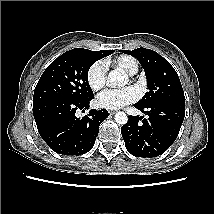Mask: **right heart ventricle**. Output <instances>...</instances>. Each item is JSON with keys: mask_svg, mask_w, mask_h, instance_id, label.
Instances as JSON below:
<instances>
[{"mask_svg": "<svg viewBox=\"0 0 214 214\" xmlns=\"http://www.w3.org/2000/svg\"><path fill=\"white\" fill-rule=\"evenodd\" d=\"M114 65L129 75L136 74L139 69L138 61L129 55L118 56L114 61Z\"/></svg>", "mask_w": 214, "mask_h": 214, "instance_id": "e07e8e85", "label": "right heart ventricle"}]
</instances>
